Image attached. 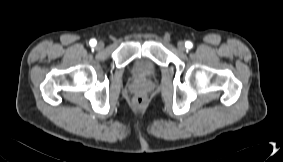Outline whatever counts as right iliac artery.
<instances>
[{
  "label": "right iliac artery",
  "instance_id": "right-iliac-artery-1",
  "mask_svg": "<svg viewBox=\"0 0 283 162\" xmlns=\"http://www.w3.org/2000/svg\"><path fill=\"white\" fill-rule=\"evenodd\" d=\"M89 43L91 46H95L97 42L95 39H91Z\"/></svg>",
  "mask_w": 283,
  "mask_h": 162
}]
</instances>
